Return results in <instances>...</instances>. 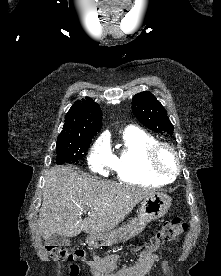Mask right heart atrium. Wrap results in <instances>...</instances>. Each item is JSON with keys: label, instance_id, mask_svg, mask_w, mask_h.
Segmentation results:
<instances>
[{"label": "right heart atrium", "instance_id": "right-heart-atrium-1", "mask_svg": "<svg viewBox=\"0 0 221 276\" xmlns=\"http://www.w3.org/2000/svg\"><path fill=\"white\" fill-rule=\"evenodd\" d=\"M113 163L114 157L109 144L103 139L98 140L88 156L90 168L95 172L105 174L107 169L113 168Z\"/></svg>", "mask_w": 221, "mask_h": 276}]
</instances>
